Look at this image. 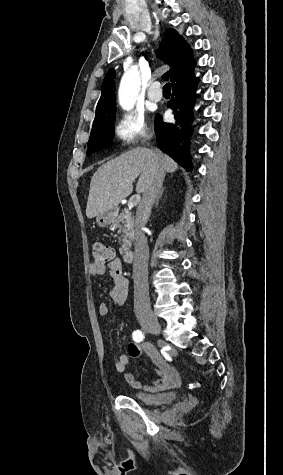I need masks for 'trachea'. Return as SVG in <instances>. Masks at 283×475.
Returning <instances> with one entry per match:
<instances>
[{
    "mask_svg": "<svg viewBox=\"0 0 283 475\" xmlns=\"http://www.w3.org/2000/svg\"><path fill=\"white\" fill-rule=\"evenodd\" d=\"M163 92H171V84L166 83L163 87Z\"/></svg>",
    "mask_w": 283,
    "mask_h": 475,
    "instance_id": "3493384b",
    "label": "trachea"
}]
</instances>
